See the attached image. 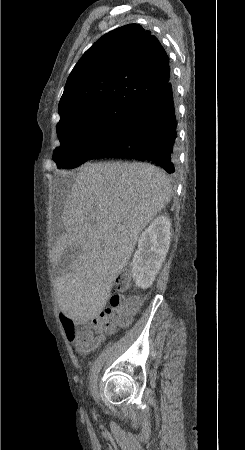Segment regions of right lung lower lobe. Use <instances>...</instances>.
I'll return each mask as SVG.
<instances>
[{
  "label": "right lung lower lobe",
  "instance_id": "98d812e1",
  "mask_svg": "<svg viewBox=\"0 0 245 450\" xmlns=\"http://www.w3.org/2000/svg\"><path fill=\"white\" fill-rule=\"evenodd\" d=\"M128 158L150 162L168 173L176 171L177 120L170 80L130 114L123 135L90 159Z\"/></svg>",
  "mask_w": 245,
  "mask_h": 450
}]
</instances>
